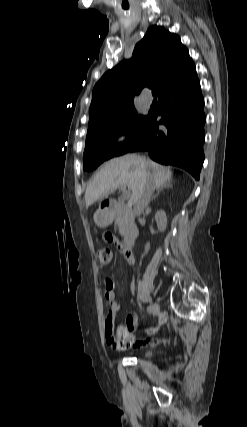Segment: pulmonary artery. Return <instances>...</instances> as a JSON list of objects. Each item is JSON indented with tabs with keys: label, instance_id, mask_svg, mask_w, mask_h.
Segmentation results:
<instances>
[{
	"label": "pulmonary artery",
	"instance_id": "e3ab8cb5",
	"mask_svg": "<svg viewBox=\"0 0 247 427\" xmlns=\"http://www.w3.org/2000/svg\"><path fill=\"white\" fill-rule=\"evenodd\" d=\"M142 102H143L144 105L149 106V105H151L152 100L149 97H143L142 98Z\"/></svg>",
	"mask_w": 247,
	"mask_h": 427
}]
</instances>
